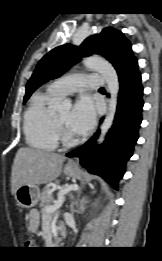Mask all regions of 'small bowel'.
<instances>
[{
    "label": "small bowel",
    "mask_w": 162,
    "mask_h": 261,
    "mask_svg": "<svg viewBox=\"0 0 162 261\" xmlns=\"http://www.w3.org/2000/svg\"><path fill=\"white\" fill-rule=\"evenodd\" d=\"M29 225L30 228L34 231L38 230L39 227V215L36 211H32L30 213V219H29Z\"/></svg>",
    "instance_id": "small-bowel-1"
}]
</instances>
